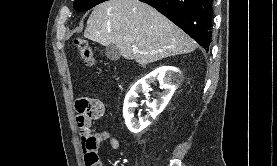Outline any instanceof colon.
Returning <instances> with one entry per match:
<instances>
[{"instance_id":"colon-1","label":"colon","mask_w":277,"mask_h":166,"mask_svg":"<svg viewBox=\"0 0 277 166\" xmlns=\"http://www.w3.org/2000/svg\"><path fill=\"white\" fill-rule=\"evenodd\" d=\"M75 45H76L84 63L87 66H93L95 59H94V55H93V52H92L89 44L82 39H78L75 41ZM81 130H82L83 134L89 135L91 133L89 126H85V127L81 128ZM90 162L92 163L93 166H104L103 162L100 160L98 155L92 156L90 158Z\"/></svg>"}]
</instances>
